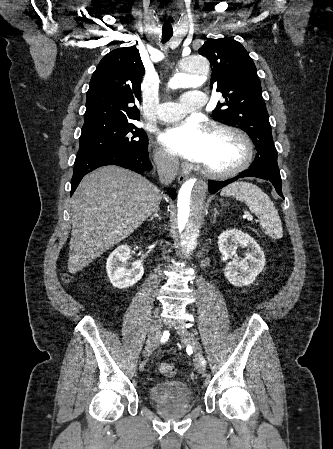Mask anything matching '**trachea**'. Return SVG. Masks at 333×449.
I'll return each instance as SVG.
<instances>
[{
	"label": "trachea",
	"mask_w": 333,
	"mask_h": 449,
	"mask_svg": "<svg viewBox=\"0 0 333 449\" xmlns=\"http://www.w3.org/2000/svg\"><path fill=\"white\" fill-rule=\"evenodd\" d=\"M173 36V29L172 27H163L162 28V42L165 44L168 42L171 37Z\"/></svg>",
	"instance_id": "3493384b"
}]
</instances>
